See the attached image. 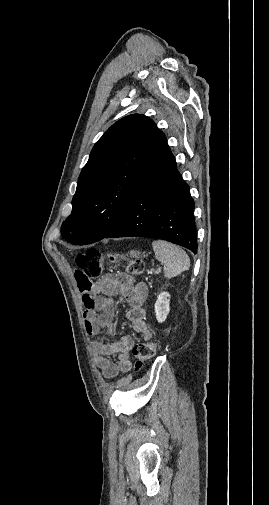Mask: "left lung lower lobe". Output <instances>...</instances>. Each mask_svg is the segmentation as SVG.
<instances>
[{
    "instance_id": "1",
    "label": "left lung lower lobe",
    "mask_w": 269,
    "mask_h": 505,
    "mask_svg": "<svg viewBox=\"0 0 269 505\" xmlns=\"http://www.w3.org/2000/svg\"><path fill=\"white\" fill-rule=\"evenodd\" d=\"M194 206L189 186L160 132L121 217L104 238H158L197 253Z\"/></svg>"
}]
</instances>
